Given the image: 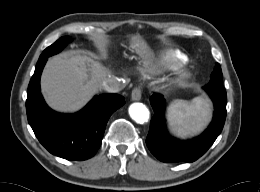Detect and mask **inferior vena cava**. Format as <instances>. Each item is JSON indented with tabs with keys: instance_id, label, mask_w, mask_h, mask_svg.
I'll use <instances>...</instances> for the list:
<instances>
[{
	"instance_id": "obj_1",
	"label": "inferior vena cava",
	"mask_w": 260,
	"mask_h": 192,
	"mask_svg": "<svg viewBox=\"0 0 260 192\" xmlns=\"http://www.w3.org/2000/svg\"><path fill=\"white\" fill-rule=\"evenodd\" d=\"M100 88L109 93H117L123 88V85L119 82L117 77L111 76L106 77L103 80V82L100 84Z\"/></svg>"
}]
</instances>
